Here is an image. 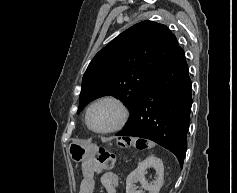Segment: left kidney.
Instances as JSON below:
<instances>
[{
	"mask_svg": "<svg viewBox=\"0 0 237 193\" xmlns=\"http://www.w3.org/2000/svg\"><path fill=\"white\" fill-rule=\"evenodd\" d=\"M148 167H153L156 171V180L148 183L145 179V171ZM164 165L160 158L149 156L139 163L138 167L131 172L126 179V193H143L142 189L149 193H159L163 185ZM140 182L141 190H137L135 183Z\"/></svg>",
	"mask_w": 237,
	"mask_h": 193,
	"instance_id": "obj_1",
	"label": "left kidney"
}]
</instances>
